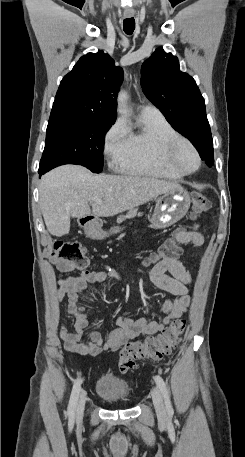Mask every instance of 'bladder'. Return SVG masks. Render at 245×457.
<instances>
[{"label":"bladder","mask_w":245,"mask_h":457,"mask_svg":"<svg viewBox=\"0 0 245 457\" xmlns=\"http://www.w3.org/2000/svg\"><path fill=\"white\" fill-rule=\"evenodd\" d=\"M128 393V384L122 382L113 375L100 376L97 383V397L104 398L108 402L125 400Z\"/></svg>","instance_id":"31cf9c89"}]
</instances>
